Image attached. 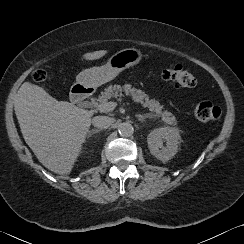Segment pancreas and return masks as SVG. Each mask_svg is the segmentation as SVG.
I'll use <instances>...</instances> for the list:
<instances>
[{"label":"pancreas","mask_w":244,"mask_h":244,"mask_svg":"<svg viewBox=\"0 0 244 244\" xmlns=\"http://www.w3.org/2000/svg\"><path fill=\"white\" fill-rule=\"evenodd\" d=\"M124 95L130 96L134 102L140 103L145 108L147 107L154 113L155 117L161 118L164 123L173 126L177 124L176 117L168 111H163V106L158 101L149 99L143 91L136 89L129 84H125L124 86L110 85L101 92V95H99L97 99H94L93 101L94 103L97 101L99 104H103L107 103L112 98L120 100Z\"/></svg>","instance_id":"1"}]
</instances>
